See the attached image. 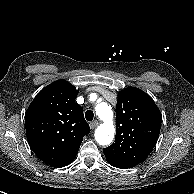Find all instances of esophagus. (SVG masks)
Here are the masks:
<instances>
[{
    "label": "esophagus",
    "mask_w": 194,
    "mask_h": 194,
    "mask_svg": "<svg viewBox=\"0 0 194 194\" xmlns=\"http://www.w3.org/2000/svg\"><path fill=\"white\" fill-rule=\"evenodd\" d=\"M99 122L98 121H93L90 123V128L95 129L98 126Z\"/></svg>",
    "instance_id": "obj_1"
}]
</instances>
